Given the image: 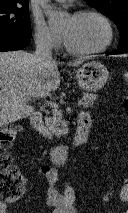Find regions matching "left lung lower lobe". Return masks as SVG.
<instances>
[{"mask_svg":"<svg viewBox=\"0 0 128 213\" xmlns=\"http://www.w3.org/2000/svg\"><path fill=\"white\" fill-rule=\"evenodd\" d=\"M123 53H128V46H125L123 48H118L117 50L112 51L108 54H123Z\"/></svg>","mask_w":128,"mask_h":213,"instance_id":"left-lung-lower-lobe-1","label":"left lung lower lobe"}]
</instances>
